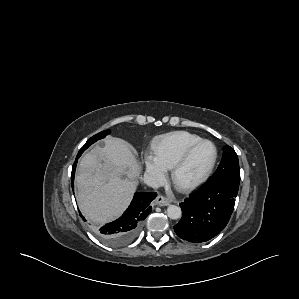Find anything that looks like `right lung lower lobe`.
I'll use <instances>...</instances> for the list:
<instances>
[{"label": "right lung lower lobe", "instance_id": "right-lung-lower-lobe-1", "mask_svg": "<svg viewBox=\"0 0 299 299\" xmlns=\"http://www.w3.org/2000/svg\"><path fill=\"white\" fill-rule=\"evenodd\" d=\"M82 154L80 151L72 168L71 181L74 188V175L77 159ZM155 192L135 193L129 208L123 215L97 230L98 236L112 246H123L131 242L139 231L142 221L149 215L152 208L150 203L156 198ZM82 217V215H80ZM83 220H85L83 218Z\"/></svg>", "mask_w": 299, "mask_h": 299}]
</instances>
